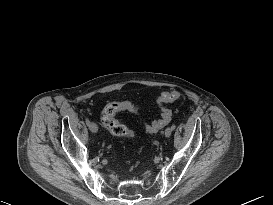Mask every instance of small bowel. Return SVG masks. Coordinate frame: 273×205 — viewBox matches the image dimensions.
Returning a JSON list of instances; mask_svg holds the SVG:
<instances>
[{"instance_id": "obj_1", "label": "small bowel", "mask_w": 273, "mask_h": 205, "mask_svg": "<svg viewBox=\"0 0 273 205\" xmlns=\"http://www.w3.org/2000/svg\"><path fill=\"white\" fill-rule=\"evenodd\" d=\"M116 103V102H114ZM123 104H125L127 107H130V106H134L133 104H131L130 102H121ZM122 111H129L127 108L123 109ZM130 112V111H129Z\"/></svg>"}]
</instances>
